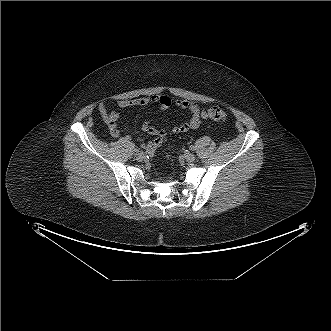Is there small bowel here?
<instances>
[{
    "label": "small bowel",
    "instance_id": "small-bowel-1",
    "mask_svg": "<svg viewBox=\"0 0 331 331\" xmlns=\"http://www.w3.org/2000/svg\"><path fill=\"white\" fill-rule=\"evenodd\" d=\"M149 105H156L157 109L163 112L168 111L173 105H175L176 107L191 113V117L188 120L174 125L157 127L154 126L149 120H145L142 123V130L145 133L154 136L153 140L147 142L142 141L143 147L149 152L155 151L163 143L169 131L171 133L178 134L197 129L200 126L202 118H205L204 110H202L196 102L186 99H178L173 101L170 97L165 95H151L147 97L121 99L116 101V106L120 109L146 107ZM98 111L103 121L109 127L111 136L115 138L119 137L120 131L117 127V123L120 118L119 114L116 112H109L105 102L99 104ZM125 139L129 140L130 137L126 136Z\"/></svg>",
    "mask_w": 331,
    "mask_h": 331
}]
</instances>
